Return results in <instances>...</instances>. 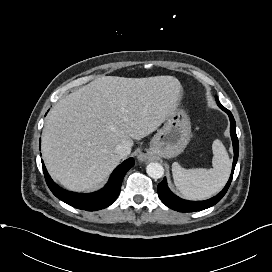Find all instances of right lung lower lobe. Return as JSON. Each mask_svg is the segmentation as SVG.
Segmentation results:
<instances>
[{
	"label": "right lung lower lobe",
	"mask_w": 272,
	"mask_h": 272,
	"mask_svg": "<svg viewBox=\"0 0 272 272\" xmlns=\"http://www.w3.org/2000/svg\"><path fill=\"white\" fill-rule=\"evenodd\" d=\"M134 164L133 158L127 159L115 168L103 189L90 194H79L66 191L55 184L42 161L45 180L52 193L68 205L87 211H96L111 205L120 193L123 177Z\"/></svg>",
	"instance_id": "right-lung-lower-lobe-1"
}]
</instances>
